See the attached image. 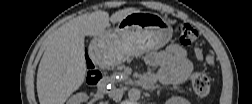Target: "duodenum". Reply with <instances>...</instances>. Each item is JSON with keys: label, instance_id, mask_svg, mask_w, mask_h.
Instances as JSON below:
<instances>
[{"label": "duodenum", "instance_id": "duodenum-1", "mask_svg": "<svg viewBox=\"0 0 252 104\" xmlns=\"http://www.w3.org/2000/svg\"><path fill=\"white\" fill-rule=\"evenodd\" d=\"M142 82L143 79H142ZM108 84H109V79L107 77H101L99 80H98V83H97V88L101 91V92H107L108 90Z\"/></svg>", "mask_w": 252, "mask_h": 104}]
</instances>
